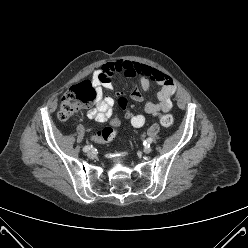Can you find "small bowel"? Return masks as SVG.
Here are the masks:
<instances>
[{
  "label": "small bowel",
  "instance_id": "small-bowel-1",
  "mask_svg": "<svg viewBox=\"0 0 248 248\" xmlns=\"http://www.w3.org/2000/svg\"><path fill=\"white\" fill-rule=\"evenodd\" d=\"M116 75H123L130 78H136L138 87H136L131 97L135 101H143V92H149L151 84L157 83L159 90L157 92L158 102L147 101L144 105L145 114L158 117L162 113L168 112L172 108V97L176 92V82L167 73L145 64L132 61L114 60L103 64L93 73V84L97 88V98L94 107L88 110V118L96 122H106L112 114L114 100L111 97L103 96L101 87L114 89L112 79ZM136 127H142L146 122L144 114H135L130 120Z\"/></svg>",
  "mask_w": 248,
  "mask_h": 248
}]
</instances>
